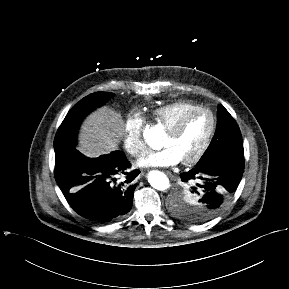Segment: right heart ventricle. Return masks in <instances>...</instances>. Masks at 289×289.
Masks as SVG:
<instances>
[{
  "instance_id": "1",
  "label": "right heart ventricle",
  "mask_w": 289,
  "mask_h": 289,
  "mask_svg": "<svg viewBox=\"0 0 289 289\" xmlns=\"http://www.w3.org/2000/svg\"><path fill=\"white\" fill-rule=\"evenodd\" d=\"M195 103L179 100L161 105L152 111L153 119L166 130L171 127L184 113L198 108Z\"/></svg>"
}]
</instances>
